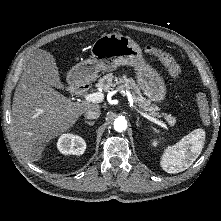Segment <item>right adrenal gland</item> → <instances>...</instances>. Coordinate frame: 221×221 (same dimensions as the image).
Instances as JSON below:
<instances>
[{
    "label": "right adrenal gland",
    "instance_id": "2a0ac1e0",
    "mask_svg": "<svg viewBox=\"0 0 221 221\" xmlns=\"http://www.w3.org/2000/svg\"><path fill=\"white\" fill-rule=\"evenodd\" d=\"M86 124L93 126L95 124V121H85Z\"/></svg>",
    "mask_w": 221,
    "mask_h": 221
}]
</instances>
